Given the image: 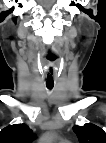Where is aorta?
I'll use <instances>...</instances> for the list:
<instances>
[{"instance_id":"1","label":"aorta","mask_w":106,"mask_h":143,"mask_svg":"<svg viewBox=\"0 0 106 143\" xmlns=\"http://www.w3.org/2000/svg\"><path fill=\"white\" fill-rule=\"evenodd\" d=\"M47 140H48V141H51V140H52V137H49Z\"/></svg>"}]
</instances>
